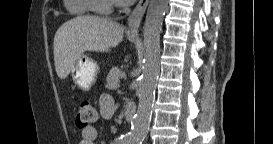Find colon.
I'll return each mask as SVG.
<instances>
[{
    "label": "colon",
    "mask_w": 273,
    "mask_h": 144,
    "mask_svg": "<svg viewBox=\"0 0 273 144\" xmlns=\"http://www.w3.org/2000/svg\"><path fill=\"white\" fill-rule=\"evenodd\" d=\"M98 117L96 105L88 99L82 100L79 104L76 125L80 129L89 127Z\"/></svg>",
    "instance_id": "5ec220e1"
}]
</instances>
